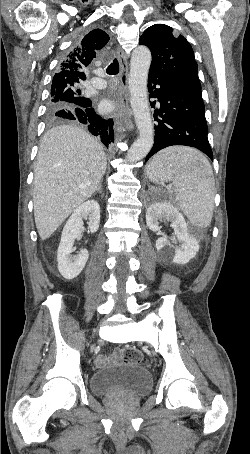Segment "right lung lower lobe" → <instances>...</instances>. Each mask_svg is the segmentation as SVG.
Instances as JSON below:
<instances>
[{"instance_id": "1", "label": "right lung lower lobe", "mask_w": 250, "mask_h": 454, "mask_svg": "<svg viewBox=\"0 0 250 454\" xmlns=\"http://www.w3.org/2000/svg\"><path fill=\"white\" fill-rule=\"evenodd\" d=\"M56 114L63 119L75 120L87 126L93 135L101 138L102 143L106 147H108L111 142H114L113 120L104 119L97 115L92 108L90 99L88 102L77 105L72 109H60Z\"/></svg>"}]
</instances>
